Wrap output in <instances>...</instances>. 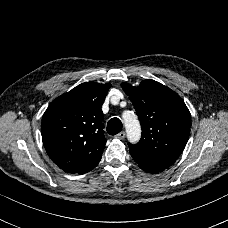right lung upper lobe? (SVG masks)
Returning a JSON list of instances; mask_svg holds the SVG:
<instances>
[{"instance_id":"1","label":"right lung upper lobe","mask_w":228,"mask_h":228,"mask_svg":"<svg viewBox=\"0 0 228 228\" xmlns=\"http://www.w3.org/2000/svg\"><path fill=\"white\" fill-rule=\"evenodd\" d=\"M111 84L85 82L57 97L42 117L43 145L68 173H81L100 161L105 148L101 106Z\"/></svg>"}]
</instances>
